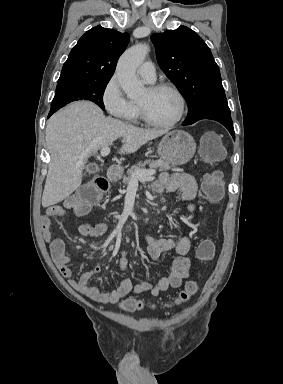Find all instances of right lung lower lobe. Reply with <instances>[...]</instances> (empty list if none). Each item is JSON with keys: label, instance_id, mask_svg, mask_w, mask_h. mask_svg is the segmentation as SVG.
Returning <instances> with one entry per match:
<instances>
[{"label": "right lung lower lobe", "instance_id": "1", "mask_svg": "<svg viewBox=\"0 0 283 384\" xmlns=\"http://www.w3.org/2000/svg\"><path fill=\"white\" fill-rule=\"evenodd\" d=\"M55 111H57V110H50V112H49V115H48V118L55 112Z\"/></svg>", "mask_w": 283, "mask_h": 384}]
</instances>
